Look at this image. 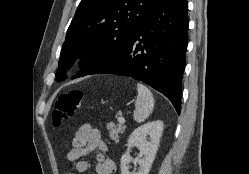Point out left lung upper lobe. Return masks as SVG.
Instances as JSON below:
<instances>
[{"mask_svg": "<svg viewBox=\"0 0 249 174\" xmlns=\"http://www.w3.org/2000/svg\"><path fill=\"white\" fill-rule=\"evenodd\" d=\"M157 0H82L68 28L56 80L67 78L77 57L84 69L78 77L107 69L139 32Z\"/></svg>", "mask_w": 249, "mask_h": 174, "instance_id": "left-lung-upper-lobe-1", "label": "left lung upper lobe"}]
</instances>
